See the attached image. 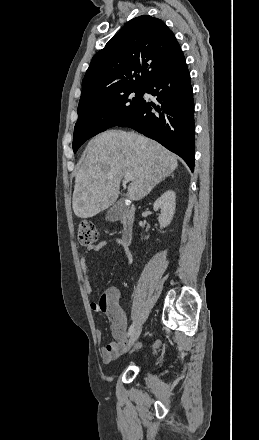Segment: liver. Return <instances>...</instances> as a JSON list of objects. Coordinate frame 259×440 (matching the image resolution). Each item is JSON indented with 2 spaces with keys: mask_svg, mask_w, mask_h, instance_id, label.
<instances>
[{
  "mask_svg": "<svg viewBox=\"0 0 259 440\" xmlns=\"http://www.w3.org/2000/svg\"><path fill=\"white\" fill-rule=\"evenodd\" d=\"M178 166L177 156L156 141L134 132L108 130L87 145L75 177L72 207L90 218L113 205L126 174L133 179L127 197L139 201Z\"/></svg>",
  "mask_w": 259,
  "mask_h": 440,
  "instance_id": "6515ba94",
  "label": "liver"
}]
</instances>
